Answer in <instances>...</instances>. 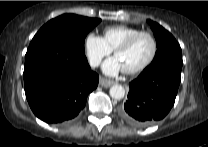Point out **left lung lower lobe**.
<instances>
[{
	"label": "left lung lower lobe",
	"instance_id": "0a47b994",
	"mask_svg": "<svg viewBox=\"0 0 208 147\" xmlns=\"http://www.w3.org/2000/svg\"><path fill=\"white\" fill-rule=\"evenodd\" d=\"M181 68L182 64L168 59L145 68L129 83L128 99L119 109L120 117L136 127L163 119L174 105Z\"/></svg>",
	"mask_w": 208,
	"mask_h": 147
}]
</instances>
